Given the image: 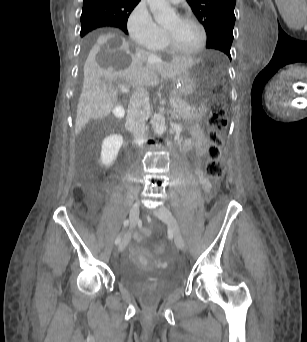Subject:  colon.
Returning a JSON list of instances; mask_svg holds the SVG:
<instances>
[{
  "mask_svg": "<svg viewBox=\"0 0 307 342\" xmlns=\"http://www.w3.org/2000/svg\"><path fill=\"white\" fill-rule=\"evenodd\" d=\"M217 93L227 94L228 88L218 87ZM210 125L212 131L210 132V145L207 150L208 160L206 163V174L211 179L219 180L224 174V167L221 162V148L223 144L221 132L228 126V118L219 105L214 106L210 110ZM156 250L158 253H166L167 248L165 242H160Z\"/></svg>",
  "mask_w": 307,
  "mask_h": 342,
  "instance_id": "5ec220e1",
  "label": "colon"
}]
</instances>
